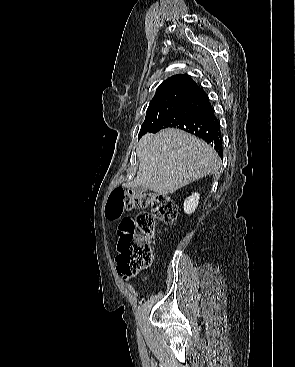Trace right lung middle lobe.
<instances>
[{
  "label": "right lung middle lobe",
  "instance_id": "right-lung-middle-lobe-1",
  "mask_svg": "<svg viewBox=\"0 0 295 367\" xmlns=\"http://www.w3.org/2000/svg\"><path fill=\"white\" fill-rule=\"evenodd\" d=\"M195 91L186 88H173L156 92L147 109L139 137L153 130L160 122L174 112Z\"/></svg>",
  "mask_w": 295,
  "mask_h": 367
}]
</instances>
